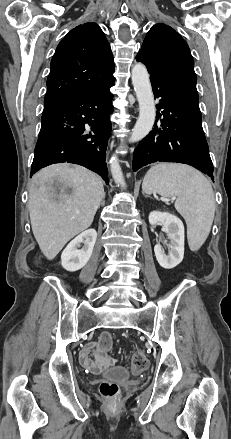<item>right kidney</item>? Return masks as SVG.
<instances>
[{"label": "right kidney", "mask_w": 231, "mask_h": 439, "mask_svg": "<svg viewBox=\"0 0 231 439\" xmlns=\"http://www.w3.org/2000/svg\"><path fill=\"white\" fill-rule=\"evenodd\" d=\"M96 239L97 232L95 229H88L74 238L62 252V267L70 272L83 268L92 255ZM80 243L84 245L81 249H78Z\"/></svg>", "instance_id": "ca27d5eb"}]
</instances>
